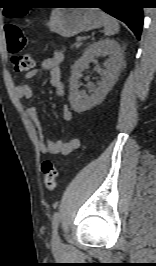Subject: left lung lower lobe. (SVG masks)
<instances>
[{"instance_id":"left-lung-lower-lobe-1","label":"left lung lower lobe","mask_w":156,"mask_h":266,"mask_svg":"<svg viewBox=\"0 0 156 266\" xmlns=\"http://www.w3.org/2000/svg\"><path fill=\"white\" fill-rule=\"evenodd\" d=\"M82 6L102 8L106 13L124 22L139 39L143 26V8L140 0H69Z\"/></svg>"}]
</instances>
